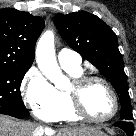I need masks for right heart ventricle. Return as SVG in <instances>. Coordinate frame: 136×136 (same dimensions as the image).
<instances>
[{
  "mask_svg": "<svg viewBox=\"0 0 136 136\" xmlns=\"http://www.w3.org/2000/svg\"><path fill=\"white\" fill-rule=\"evenodd\" d=\"M65 72L73 78H77L82 75L81 68L72 69L68 67H63ZM59 98V107L54 114V116L49 121H67V122H75L78 121L79 118L74 114L70 100L67 94V91L64 90H56Z\"/></svg>",
  "mask_w": 136,
  "mask_h": 136,
  "instance_id": "1",
  "label": "right heart ventricle"
}]
</instances>
